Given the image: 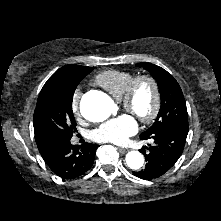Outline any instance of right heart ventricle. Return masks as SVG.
<instances>
[{"label":"right heart ventricle","instance_id":"e07e8e85","mask_svg":"<svg viewBox=\"0 0 221 221\" xmlns=\"http://www.w3.org/2000/svg\"><path fill=\"white\" fill-rule=\"evenodd\" d=\"M133 77V74L127 71L106 70L95 77V82L120 100Z\"/></svg>","mask_w":221,"mask_h":221}]
</instances>
